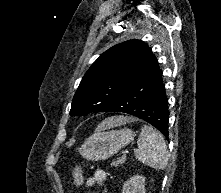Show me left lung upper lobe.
<instances>
[{
  "instance_id": "left-lung-upper-lobe-1",
  "label": "left lung upper lobe",
  "mask_w": 221,
  "mask_h": 193,
  "mask_svg": "<svg viewBox=\"0 0 221 193\" xmlns=\"http://www.w3.org/2000/svg\"><path fill=\"white\" fill-rule=\"evenodd\" d=\"M156 63L153 52L141 40H129L111 47L82 78L70 115L106 112L136 78Z\"/></svg>"
}]
</instances>
